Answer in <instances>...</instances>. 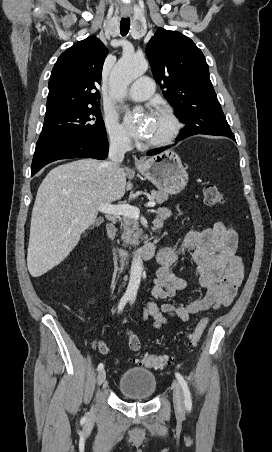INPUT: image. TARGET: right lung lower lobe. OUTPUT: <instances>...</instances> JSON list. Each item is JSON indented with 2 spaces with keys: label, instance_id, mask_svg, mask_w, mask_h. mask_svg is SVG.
Masks as SVG:
<instances>
[{
  "label": "right lung lower lobe",
  "instance_id": "obj_1",
  "mask_svg": "<svg viewBox=\"0 0 272 452\" xmlns=\"http://www.w3.org/2000/svg\"><path fill=\"white\" fill-rule=\"evenodd\" d=\"M108 156V140L102 138H67L39 140L31 166V176L45 165L60 159L89 157L104 160Z\"/></svg>",
  "mask_w": 272,
  "mask_h": 452
}]
</instances>
